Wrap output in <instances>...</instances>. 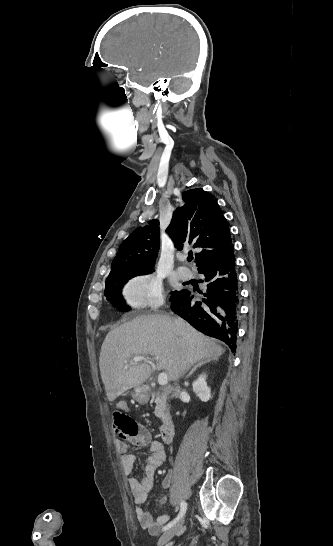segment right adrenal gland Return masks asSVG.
I'll return each instance as SVG.
<instances>
[{
  "label": "right adrenal gland",
  "instance_id": "right-adrenal-gland-1",
  "mask_svg": "<svg viewBox=\"0 0 333 546\" xmlns=\"http://www.w3.org/2000/svg\"><path fill=\"white\" fill-rule=\"evenodd\" d=\"M210 361H211V359H207V360H204V361L198 363L197 365H195V366L192 368V370L189 372V374L187 375L186 378H189L197 368H199L200 366H202V365H204V364H206V363H208V362H210Z\"/></svg>",
  "mask_w": 333,
  "mask_h": 546
}]
</instances>
